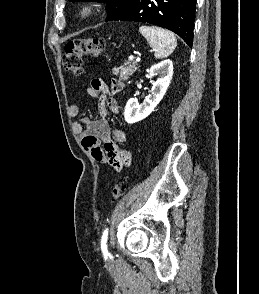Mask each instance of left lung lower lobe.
Returning a JSON list of instances; mask_svg holds the SVG:
<instances>
[{"label":"left lung lower lobe","mask_w":259,"mask_h":294,"mask_svg":"<svg viewBox=\"0 0 259 294\" xmlns=\"http://www.w3.org/2000/svg\"><path fill=\"white\" fill-rule=\"evenodd\" d=\"M195 7L196 0H136L106 21H137L161 26L178 34L192 47Z\"/></svg>","instance_id":"left-lung-lower-lobe-1"}]
</instances>
